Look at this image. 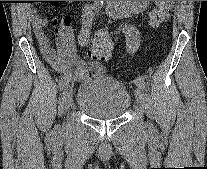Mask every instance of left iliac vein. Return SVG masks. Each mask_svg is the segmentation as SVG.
<instances>
[{"label": "left iliac vein", "mask_w": 207, "mask_h": 169, "mask_svg": "<svg viewBox=\"0 0 207 169\" xmlns=\"http://www.w3.org/2000/svg\"><path fill=\"white\" fill-rule=\"evenodd\" d=\"M135 97H136L138 105L141 107L143 105V102H144V93H143L142 88H140V87L136 88Z\"/></svg>", "instance_id": "obj_1"}]
</instances>
